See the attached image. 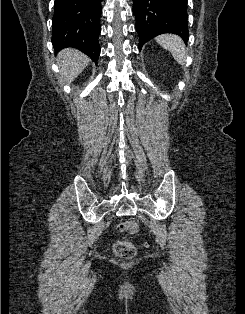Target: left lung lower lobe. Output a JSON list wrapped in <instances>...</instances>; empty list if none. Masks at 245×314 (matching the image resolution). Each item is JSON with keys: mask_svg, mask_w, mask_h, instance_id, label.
I'll list each match as a JSON object with an SVG mask.
<instances>
[{"mask_svg": "<svg viewBox=\"0 0 245 314\" xmlns=\"http://www.w3.org/2000/svg\"><path fill=\"white\" fill-rule=\"evenodd\" d=\"M139 49L145 42L163 33L188 40L187 0H133Z\"/></svg>", "mask_w": 245, "mask_h": 314, "instance_id": "0a47b994", "label": "left lung lower lobe"}]
</instances>
